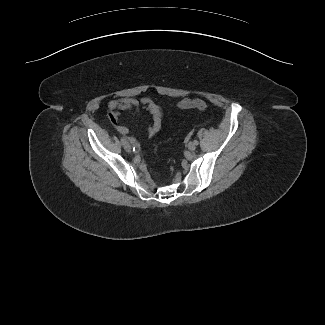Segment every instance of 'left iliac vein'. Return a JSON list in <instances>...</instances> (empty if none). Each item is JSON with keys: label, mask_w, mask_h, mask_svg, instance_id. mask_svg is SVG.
<instances>
[{"label": "left iliac vein", "mask_w": 325, "mask_h": 325, "mask_svg": "<svg viewBox=\"0 0 325 325\" xmlns=\"http://www.w3.org/2000/svg\"><path fill=\"white\" fill-rule=\"evenodd\" d=\"M187 147L190 151H194L196 149V145L192 141L188 143Z\"/></svg>", "instance_id": "4c4485c4"}]
</instances>
